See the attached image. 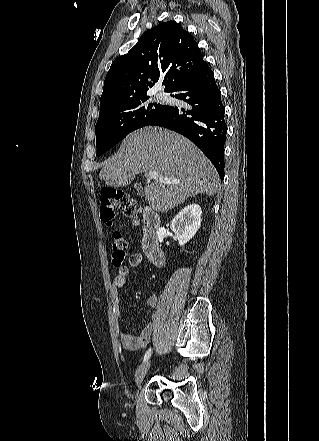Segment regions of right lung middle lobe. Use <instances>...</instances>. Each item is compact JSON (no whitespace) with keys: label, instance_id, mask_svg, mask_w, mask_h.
<instances>
[{"label":"right lung middle lobe","instance_id":"right-lung-middle-lobe-1","mask_svg":"<svg viewBox=\"0 0 319 441\" xmlns=\"http://www.w3.org/2000/svg\"><path fill=\"white\" fill-rule=\"evenodd\" d=\"M148 99L147 96L100 111L95 128L97 156L105 153L130 132L150 125L161 115L166 106L150 103Z\"/></svg>","mask_w":319,"mask_h":441}]
</instances>
